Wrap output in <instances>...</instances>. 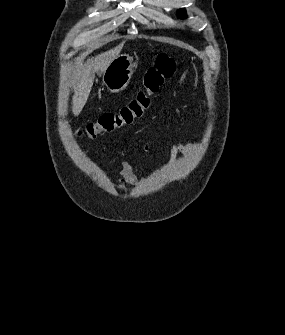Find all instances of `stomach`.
<instances>
[{
  "mask_svg": "<svg viewBox=\"0 0 285 335\" xmlns=\"http://www.w3.org/2000/svg\"><path fill=\"white\" fill-rule=\"evenodd\" d=\"M133 74V58L128 54L115 56L105 72H103L102 82L110 92H121L128 86Z\"/></svg>",
  "mask_w": 285,
  "mask_h": 335,
  "instance_id": "obj_1",
  "label": "stomach"
}]
</instances>
